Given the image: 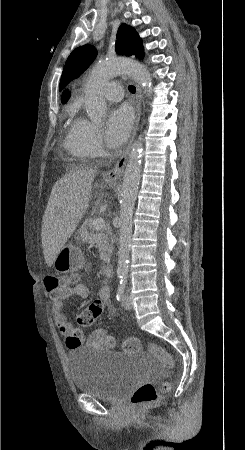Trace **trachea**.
I'll return each instance as SVG.
<instances>
[{
    "instance_id": "1",
    "label": "trachea",
    "mask_w": 245,
    "mask_h": 450,
    "mask_svg": "<svg viewBox=\"0 0 245 450\" xmlns=\"http://www.w3.org/2000/svg\"><path fill=\"white\" fill-rule=\"evenodd\" d=\"M129 90H130L131 93H135L136 88L133 85H130L129 86Z\"/></svg>"
}]
</instances>
